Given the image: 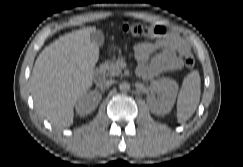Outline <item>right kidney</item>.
I'll return each instance as SVG.
<instances>
[{"label": "right kidney", "mask_w": 243, "mask_h": 167, "mask_svg": "<svg viewBox=\"0 0 243 167\" xmlns=\"http://www.w3.org/2000/svg\"><path fill=\"white\" fill-rule=\"evenodd\" d=\"M100 100L101 95L96 91L83 94L76 104L77 113L80 116L91 113L98 106Z\"/></svg>", "instance_id": "1"}]
</instances>
